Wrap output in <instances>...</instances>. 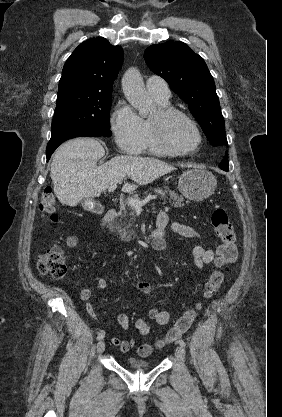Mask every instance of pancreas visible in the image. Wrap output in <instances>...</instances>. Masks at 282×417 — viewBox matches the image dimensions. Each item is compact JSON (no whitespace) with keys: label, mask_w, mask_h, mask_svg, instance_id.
Returning <instances> with one entry per match:
<instances>
[{"label":"pancreas","mask_w":282,"mask_h":417,"mask_svg":"<svg viewBox=\"0 0 282 417\" xmlns=\"http://www.w3.org/2000/svg\"><path fill=\"white\" fill-rule=\"evenodd\" d=\"M153 190L154 192H157V194H161V198H163V200L168 198V202H170L172 206H184V202H189V200H185L183 196H179L175 190H171L169 186H157V188H153ZM145 194H148V190H145ZM119 209L121 211L119 215L120 219L115 229H117L119 239L129 243V241H132V239L136 237V233L133 229L135 221V209L134 206H131V204H128V202H125V204L121 202Z\"/></svg>","instance_id":"cf45deb5"}]
</instances>
